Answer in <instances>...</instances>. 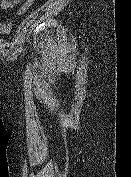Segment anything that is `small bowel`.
Wrapping results in <instances>:
<instances>
[{"label": "small bowel", "mask_w": 131, "mask_h": 177, "mask_svg": "<svg viewBox=\"0 0 131 177\" xmlns=\"http://www.w3.org/2000/svg\"><path fill=\"white\" fill-rule=\"evenodd\" d=\"M36 0H0L2 9H16L15 17L24 14ZM13 23L0 24V32L8 33L12 28Z\"/></svg>", "instance_id": "1"}]
</instances>
